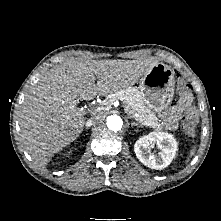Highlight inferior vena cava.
I'll return each mask as SVG.
<instances>
[{"label":"inferior vena cava","mask_w":221,"mask_h":221,"mask_svg":"<svg viewBox=\"0 0 221 221\" xmlns=\"http://www.w3.org/2000/svg\"><path fill=\"white\" fill-rule=\"evenodd\" d=\"M100 120V117L99 116H93V117H91L90 119H88L87 121H86V125L87 126H91V125H93L95 122H97V121H99Z\"/></svg>","instance_id":"602c4592"}]
</instances>
